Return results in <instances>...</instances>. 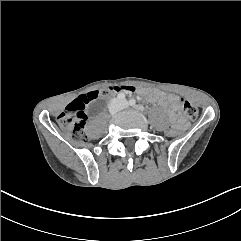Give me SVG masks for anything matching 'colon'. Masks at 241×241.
<instances>
[{"instance_id": "1", "label": "colon", "mask_w": 241, "mask_h": 241, "mask_svg": "<svg viewBox=\"0 0 241 241\" xmlns=\"http://www.w3.org/2000/svg\"><path fill=\"white\" fill-rule=\"evenodd\" d=\"M121 90L133 92L135 91V88L131 86L111 87L104 90L89 92L86 95H83L82 97L74 100L67 105L65 112H62L57 116V123L59 127L63 132L69 134L74 140L81 142L86 141V115L84 113L85 105L90 101L96 100L112 92H118ZM180 102L184 117L189 120L196 119L198 116L197 108L185 99H181ZM167 133L171 138H178L182 134L181 131L175 127L169 129Z\"/></svg>"}]
</instances>
